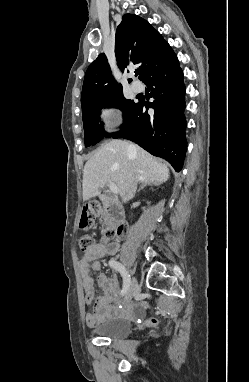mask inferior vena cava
I'll return each mask as SVG.
<instances>
[{"instance_id": "1", "label": "inferior vena cava", "mask_w": 249, "mask_h": 382, "mask_svg": "<svg viewBox=\"0 0 249 382\" xmlns=\"http://www.w3.org/2000/svg\"><path fill=\"white\" fill-rule=\"evenodd\" d=\"M132 148L133 147L130 146V149H132ZM136 189H137V181H132L130 183V185L128 186V188L126 190V193L124 194V196L122 198L123 201L127 202V201L131 200L134 197L135 193H136Z\"/></svg>"}]
</instances>
